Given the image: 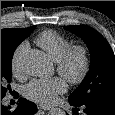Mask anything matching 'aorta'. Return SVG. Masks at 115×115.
Segmentation results:
<instances>
[{
    "mask_svg": "<svg viewBox=\"0 0 115 115\" xmlns=\"http://www.w3.org/2000/svg\"><path fill=\"white\" fill-rule=\"evenodd\" d=\"M22 67L31 76L43 77L48 74L49 62L43 52L31 50L23 56ZM48 115H66V113L60 108H53L49 111Z\"/></svg>",
    "mask_w": 115,
    "mask_h": 115,
    "instance_id": "762f6f07",
    "label": "aorta"
}]
</instances>
